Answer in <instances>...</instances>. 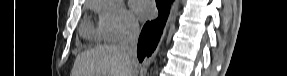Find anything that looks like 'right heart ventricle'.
Segmentation results:
<instances>
[{
    "mask_svg": "<svg viewBox=\"0 0 287 76\" xmlns=\"http://www.w3.org/2000/svg\"><path fill=\"white\" fill-rule=\"evenodd\" d=\"M82 34L86 38L93 40H101L103 39V35L99 28H95L91 23H85L82 28Z\"/></svg>",
    "mask_w": 287,
    "mask_h": 76,
    "instance_id": "right-heart-ventricle-1",
    "label": "right heart ventricle"
}]
</instances>
